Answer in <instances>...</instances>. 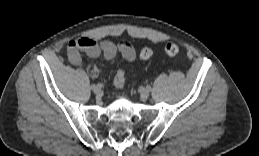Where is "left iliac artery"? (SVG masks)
Segmentation results:
<instances>
[{"mask_svg": "<svg viewBox=\"0 0 259 156\" xmlns=\"http://www.w3.org/2000/svg\"><path fill=\"white\" fill-rule=\"evenodd\" d=\"M147 88H148L149 90H151V87H150V86H147Z\"/></svg>", "mask_w": 259, "mask_h": 156, "instance_id": "44dca946", "label": "left iliac artery"}]
</instances>
